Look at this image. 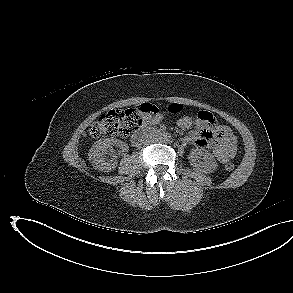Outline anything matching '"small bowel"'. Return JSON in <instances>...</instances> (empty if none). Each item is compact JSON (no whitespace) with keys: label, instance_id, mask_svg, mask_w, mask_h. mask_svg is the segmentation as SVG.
<instances>
[{"label":"small bowel","instance_id":"c3829d8e","mask_svg":"<svg viewBox=\"0 0 293 293\" xmlns=\"http://www.w3.org/2000/svg\"><path fill=\"white\" fill-rule=\"evenodd\" d=\"M139 109L143 116L144 126L156 125L162 119L159 109L153 104L143 103ZM193 125L196 127V131L180 140V147L192 144L198 147L208 148L220 163H226L235 156L237 140L228 127L216 122L214 117L212 121H206L199 117L198 114L196 119L184 116L178 121V126L182 130H187Z\"/></svg>","mask_w":293,"mask_h":293}]
</instances>
